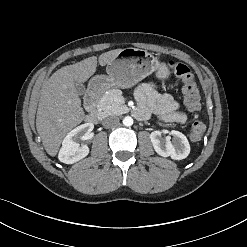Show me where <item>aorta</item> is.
I'll return each mask as SVG.
<instances>
[{
  "label": "aorta",
  "mask_w": 247,
  "mask_h": 247,
  "mask_svg": "<svg viewBox=\"0 0 247 247\" xmlns=\"http://www.w3.org/2000/svg\"><path fill=\"white\" fill-rule=\"evenodd\" d=\"M123 124L127 127L129 126H132L133 125V119L132 117L130 116H126L124 119H123Z\"/></svg>",
  "instance_id": "aorta-1"
}]
</instances>
